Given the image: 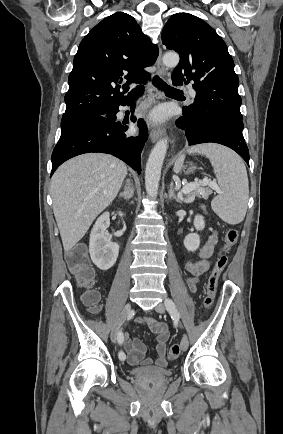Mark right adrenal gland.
I'll return each instance as SVG.
<instances>
[{"label": "right adrenal gland", "mask_w": 283, "mask_h": 434, "mask_svg": "<svg viewBox=\"0 0 283 434\" xmlns=\"http://www.w3.org/2000/svg\"><path fill=\"white\" fill-rule=\"evenodd\" d=\"M133 195H134V187L132 183H129V186L125 188L124 192L119 194V198L122 197L126 201H128L133 197Z\"/></svg>", "instance_id": "2a0ac1e0"}]
</instances>
